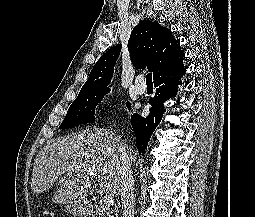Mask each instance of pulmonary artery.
<instances>
[{
  "instance_id": "e3ab8cb5",
  "label": "pulmonary artery",
  "mask_w": 255,
  "mask_h": 217,
  "mask_svg": "<svg viewBox=\"0 0 255 217\" xmlns=\"http://www.w3.org/2000/svg\"><path fill=\"white\" fill-rule=\"evenodd\" d=\"M143 81V75H139L135 80L134 91L137 95H143L146 92V87L144 85H141Z\"/></svg>"
}]
</instances>
